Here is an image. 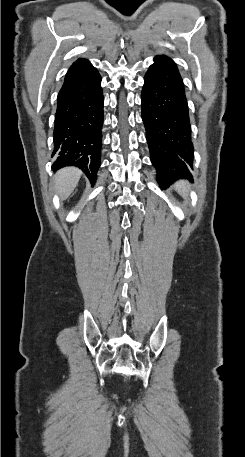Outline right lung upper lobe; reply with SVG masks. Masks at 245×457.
I'll return each instance as SVG.
<instances>
[{"label": "right lung upper lobe", "mask_w": 245, "mask_h": 457, "mask_svg": "<svg viewBox=\"0 0 245 457\" xmlns=\"http://www.w3.org/2000/svg\"><path fill=\"white\" fill-rule=\"evenodd\" d=\"M93 68L94 67L91 65V63L89 61H87L86 59H78L76 62H74L71 65L66 76L89 71Z\"/></svg>", "instance_id": "obj_1"}]
</instances>
